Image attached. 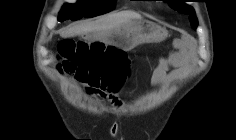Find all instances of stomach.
<instances>
[{"label": "stomach", "mask_w": 236, "mask_h": 140, "mask_svg": "<svg viewBox=\"0 0 236 140\" xmlns=\"http://www.w3.org/2000/svg\"><path fill=\"white\" fill-rule=\"evenodd\" d=\"M108 29V26H104ZM109 30L95 31L91 41H105L125 50H131L139 44L160 42L165 39L167 32L160 25L147 19H130L120 28L119 25H109Z\"/></svg>", "instance_id": "0dacf381"}]
</instances>
